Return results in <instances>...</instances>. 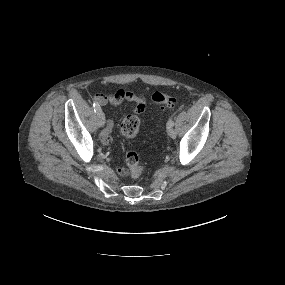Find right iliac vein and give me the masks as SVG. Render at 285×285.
I'll use <instances>...</instances> for the list:
<instances>
[{
	"mask_svg": "<svg viewBox=\"0 0 285 285\" xmlns=\"http://www.w3.org/2000/svg\"><path fill=\"white\" fill-rule=\"evenodd\" d=\"M97 123L99 127H102L105 124V117L102 112L97 113Z\"/></svg>",
	"mask_w": 285,
	"mask_h": 285,
	"instance_id": "1",
	"label": "right iliac vein"
}]
</instances>
